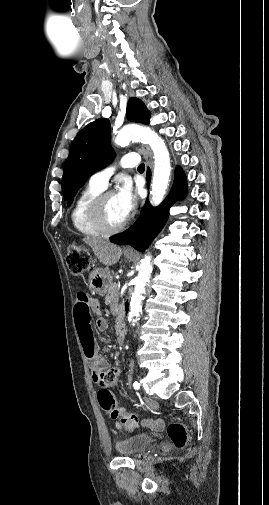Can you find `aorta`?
Masks as SVG:
<instances>
[{
	"label": "aorta",
	"mask_w": 269,
	"mask_h": 505,
	"mask_svg": "<svg viewBox=\"0 0 269 505\" xmlns=\"http://www.w3.org/2000/svg\"><path fill=\"white\" fill-rule=\"evenodd\" d=\"M132 140H139L148 144L154 156V171L151 189V204L158 206L163 201L169 185L171 162L170 155L164 141L152 129L140 125L123 127L115 136L114 142L123 146ZM152 273L151 255L147 254L141 260L138 275L135 278V287L130 302L128 320L134 325L142 309V302L146 293V286Z\"/></svg>",
	"instance_id": "762f6f07"
}]
</instances>
